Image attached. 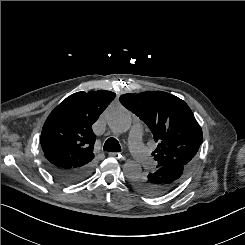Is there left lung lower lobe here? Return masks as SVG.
<instances>
[{"label": "left lung lower lobe", "instance_id": "obj_1", "mask_svg": "<svg viewBox=\"0 0 245 245\" xmlns=\"http://www.w3.org/2000/svg\"><path fill=\"white\" fill-rule=\"evenodd\" d=\"M188 170L189 168L180 164L165 165L148 175L131 177L128 186L145 196H162L174 190L183 181Z\"/></svg>", "mask_w": 245, "mask_h": 245}]
</instances>
